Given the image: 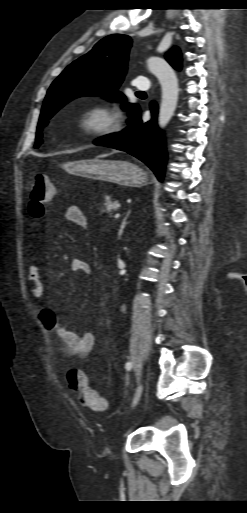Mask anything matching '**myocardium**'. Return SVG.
Here are the masks:
<instances>
[{
	"label": "myocardium",
	"mask_w": 247,
	"mask_h": 513,
	"mask_svg": "<svg viewBox=\"0 0 247 513\" xmlns=\"http://www.w3.org/2000/svg\"><path fill=\"white\" fill-rule=\"evenodd\" d=\"M73 123L82 134L96 137L117 131L119 122L114 110L104 104H91L77 110Z\"/></svg>",
	"instance_id": "myocardium-1"
}]
</instances>
